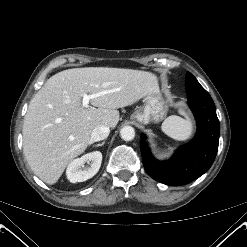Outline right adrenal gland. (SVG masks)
Listing matches in <instances>:
<instances>
[{
  "instance_id": "1",
  "label": "right adrenal gland",
  "mask_w": 247,
  "mask_h": 247,
  "mask_svg": "<svg viewBox=\"0 0 247 247\" xmlns=\"http://www.w3.org/2000/svg\"><path fill=\"white\" fill-rule=\"evenodd\" d=\"M105 144V142L103 141L102 143H98L96 145H94L95 147H100V146H103Z\"/></svg>"
}]
</instances>
